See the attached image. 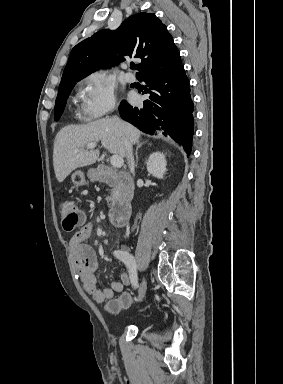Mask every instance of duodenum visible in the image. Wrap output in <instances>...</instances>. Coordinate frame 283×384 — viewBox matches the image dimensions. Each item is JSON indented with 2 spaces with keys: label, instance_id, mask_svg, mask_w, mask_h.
Instances as JSON below:
<instances>
[{
  "label": "duodenum",
  "instance_id": "1",
  "mask_svg": "<svg viewBox=\"0 0 283 384\" xmlns=\"http://www.w3.org/2000/svg\"><path fill=\"white\" fill-rule=\"evenodd\" d=\"M98 181L109 182L120 188V201L110 213V221L116 227H124L130 220L134 197L133 179L128 172H115L107 165L95 169Z\"/></svg>",
  "mask_w": 283,
  "mask_h": 384
}]
</instances>
